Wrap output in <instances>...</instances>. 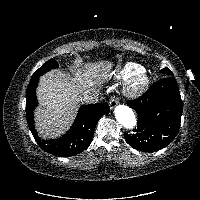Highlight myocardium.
<instances>
[{"instance_id":"obj_1","label":"myocardium","mask_w":200,"mask_h":200,"mask_svg":"<svg viewBox=\"0 0 200 200\" xmlns=\"http://www.w3.org/2000/svg\"><path fill=\"white\" fill-rule=\"evenodd\" d=\"M150 84V77L145 70L127 79L123 85V94L129 98H138L145 93Z\"/></svg>"}]
</instances>
